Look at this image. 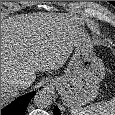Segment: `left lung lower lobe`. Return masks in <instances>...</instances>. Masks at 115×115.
Wrapping results in <instances>:
<instances>
[{
  "instance_id": "0a47b994",
  "label": "left lung lower lobe",
  "mask_w": 115,
  "mask_h": 115,
  "mask_svg": "<svg viewBox=\"0 0 115 115\" xmlns=\"http://www.w3.org/2000/svg\"><path fill=\"white\" fill-rule=\"evenodd\" d=\"M54 115H60L59 110L57 107L54 108Z\"/></svg>"
}]
</instances>
